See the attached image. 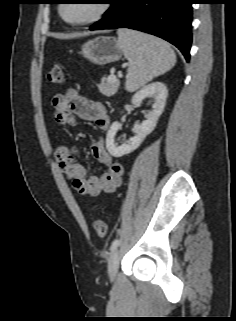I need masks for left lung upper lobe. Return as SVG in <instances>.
<instances>
[{"mask_svg": "<svg viewBox=\"0 0 236 321\" xmlns=\"http://www.w3.org/2000/svg\"><path fill=\"white\" fill-rule=\"evenodd\" d=\"M106 1H107V3H109V4H112L114 0H106ZM50 3H52V2H50Z\"/></svg>", "mask_w": 236, "mask_h": 321, "instance_id": "1", "label": "left lung upper lobe"}]
</instances>
